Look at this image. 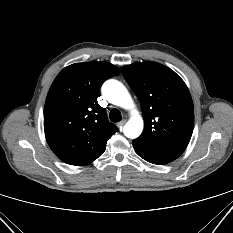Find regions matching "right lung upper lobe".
I'll return each mask as SVG.
<instances>
[{"instance_id":"right-lung-upper-lobe-1","label":"right lung upper lobe","mask_w":233,"mask_h":233,"mask_svg":"<svg viewBox=\"0 0 233 233\" xmlns=\"http://www.w3.org/2000/svg\"><path fill=\"white\" fill-rule=\"evenodd\" d=\"M118 74L114 65L92 61L72 64L54 80L44 107V131L63 162L76 166L93 162L118 131L97 102L102 83Z\"/></svg>"}]
</instances>
